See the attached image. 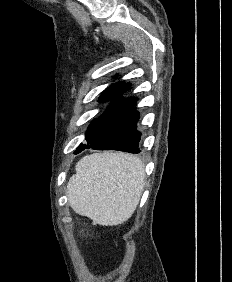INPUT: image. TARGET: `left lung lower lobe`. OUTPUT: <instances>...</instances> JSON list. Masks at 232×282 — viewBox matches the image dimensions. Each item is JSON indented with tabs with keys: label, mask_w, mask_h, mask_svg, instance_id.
I'll return each instance as SVG.
<instances>
[{
	"label": "left lung lower lobe",
	"mask_w": 232,
	"mask_h": 282,
	"mask_svg": "<svg viewBox=\"0 0 232 282\" xmlns=\"http://www.w3.org/2000/svg\"><path fill=\"white\" fill-rule=\"evenodd\" d=\"M129 86L130 84L123 85L113 95L110 104L99 116L95 129L87 140L88 144H81L75 153L88 148L140 152L138 148L140 133L136 131L139 114L134 110L137 99L121 97Z\"/></svg>",
	"instance_id": "left-lung-lower-lobe-1"
}]
</instances>
